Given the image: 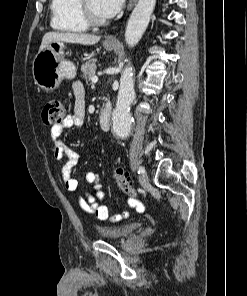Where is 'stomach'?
<instances>
[{
	"mask_svg": "<svg viewBox=\"0 0 247 296\" xmlns=\"http://www.w3.org/2000/svg\"><path fill=\"white\" fill-rule=\"evenodd\" d=\"M106 50L114 44L103 43ZM65 46L62 42H51L35 56L32 74L35 84L45 91H54L63 79H72L76 75L75 65L65 58Z\"/></svg>",
	"mask_w": 247,
	"mask_h": 296,
	"instance_id": "1",
	"label": "stomach"
}]
</instances>
